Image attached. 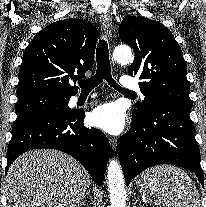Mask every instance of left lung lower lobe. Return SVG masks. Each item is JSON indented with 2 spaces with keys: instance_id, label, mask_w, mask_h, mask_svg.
<instances>
[{
  "instance_id": "0a47b994",
  "label": "left lung lower lobe",
  "mask_w": 206,
  "mask_h": 207,
  "mask_svg": "<svg viewBox=\"0 0 206 207\" xmlns=\"http://www.w3.org/2000/svg\"><path fill=\"white\" fill-rule=\"evenodd\" d=\"M191 107L151 102L143 116L133 114L130 130L118 142L126 185L148 167L173 164L194 172L204 187Z\"/></svg>"
}]
</instances>
